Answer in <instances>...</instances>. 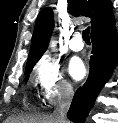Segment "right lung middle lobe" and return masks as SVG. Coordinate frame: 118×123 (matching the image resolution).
Masks as SVG:
<instances>
[{
    "instance_id": "dd1d6c3e",
    "label": "right lung middle lobe",
    "mask_w": 118,
    "mask_h": 123,
    "mask_svg": "<svg viewBox=\"0 0 118 123\" xmlns=\"http://www.w3.org/2000/svg\"><path fill=\"white\" fill-rule=\"evenodd\" d=\"M31 71H32V68L26 70V72H25V76H26L25 81L28 80V78H29L28 75L31 73Z\"/></svg>"
}]
</instances>
